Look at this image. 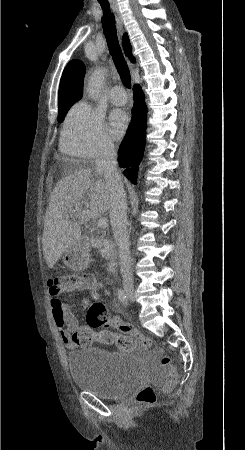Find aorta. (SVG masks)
I'll use <instances>...</instances> for the list:
<instances>
[{"instance_id": "aorta-1", "label": "aorta", "mask_w": 245, "mask_h": 450, "mask_svg": "<svg viewBox=\"0 0 245 450\" xmlns=\"http://www.w3.org/2000/svg\"><path fill=\"white\" fill-rule=\"evenodd\" d=\"M104 79V71L103 70H96L94 72V74L91 76V78L88 81V86H87V92L88 95L92 98L95 99L97 98L101 86H102V81Z\"/></svg>"}]
</instances>
